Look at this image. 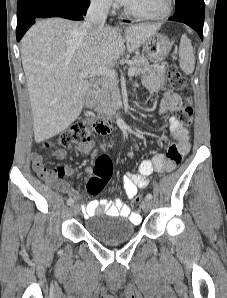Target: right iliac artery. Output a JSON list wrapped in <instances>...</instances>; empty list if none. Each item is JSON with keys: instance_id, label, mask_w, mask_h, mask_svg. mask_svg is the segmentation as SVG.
Masks as SVG:
<instances>
[{"instance_id": "obj_1", "label": "right iliac artery", "mask_w": 227, "mask_h": 298, "mask_svg": "<svg viewBox=\"0 0 227 298\" xmlns=\"http://www.w3.org/2000/svg\"><path fill=\"white\" fill-rule=\"evenodd\" d=\"M73 203H74V199L69 198V199L67 200V204H68V205H72Z\"/></svg>"}]
</instances>
